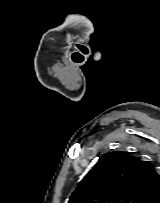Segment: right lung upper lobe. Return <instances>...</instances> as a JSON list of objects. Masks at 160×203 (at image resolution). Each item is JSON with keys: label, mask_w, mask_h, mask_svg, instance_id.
I'll return each mask as SVG.
<instances>
[{"label": "right lung upper lobe", "mask_w": 160, "mask_h": 203, "mask_svg": "<svg viewBox=\"0 0 160 203\" xmlns=\"http://www.w3.org/2000/svg\"><path fill=\"white\" fill-rule=\"evenodd\" d=\"M160 196V175L123 151L104 154L68 203H150Z\"/></svg>", "instance_id": "obj_1"}]
</instances>
